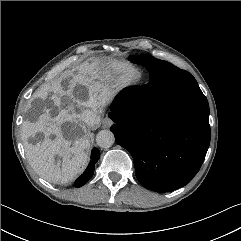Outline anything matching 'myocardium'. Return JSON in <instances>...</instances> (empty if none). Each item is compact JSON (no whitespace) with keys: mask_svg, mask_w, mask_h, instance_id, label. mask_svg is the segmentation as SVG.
Instances as JSON below:
<instances>
[{"mask_svg":"<svg viewBox=\"0 0 241 241\" xmlns=\"http://www.w3.org/2000/svg\"><path fill=\"white\" fill-rule=\"evenodd\" d=\"M136 70L137 74L135 76L131 75V71ZM142 71L136 66L127 67L119 76V84L122 88H131L138 84L142 79Z\"/></svg>","mask_w":241,"mask_h":241,"instance_id":"obj_1","label":"myocardium"}]
</instances>
